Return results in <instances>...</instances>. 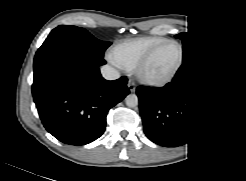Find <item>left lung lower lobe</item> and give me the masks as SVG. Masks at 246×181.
I'll return each mask as SVG.
<instances>
[{
    "mask_svg": "<svg viewBox=\"0 0 246 181\" xmlns=\"http://www.w3.org/2000/svg\"><path fill=\"white\" fill-rule=\"evenodd\" d=\"M220 94V67L215 53L208 50L184 58L166 86L137 88L145 134L166 147L190 143L211 124Z\"/></svg>",
    "mask_w": 246,
    "mask_h": 181,
    "instance_id": "left-lung-lower-lobe-1",
    "label": "left lung lower lobe"
}]
</instances>
